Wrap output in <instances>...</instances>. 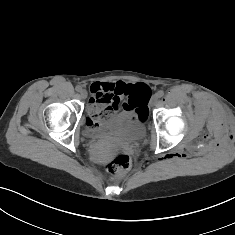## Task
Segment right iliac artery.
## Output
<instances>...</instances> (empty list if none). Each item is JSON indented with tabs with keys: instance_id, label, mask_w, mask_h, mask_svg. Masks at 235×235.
<instances>
[{
	"instance_id": "right-iliac-artery-1",
	"label": "right iliac artery",
	"mask_w": 235,
	"mask_h": 235,
	"mask_svg": "<svg viewBox=\"0 0 235 235\" xmlns=\"http://www.w3.org/2000/svg\"><path fill=\"white\" fill-rule=\"evenodd\" d=\"M75 89H76V91H77V92H80V91L82 90L81 86H79V85H78V86H76V88H75Z\"/></svg>"
}]
</instances>
